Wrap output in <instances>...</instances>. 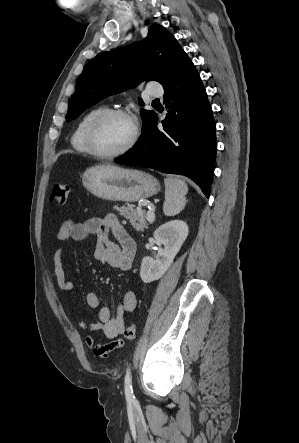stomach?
<instances>
[{"instance_id": "obj_1", "label": "stomach", "mask_w": 299, "mask_h": 443, "mask_svg": "<svg viewBox=\"0 0 299 443\" xmlns=\"http://www.w3.org/2000/svg\"><path fill=\"white\" fill-rule=\"evenodd\" d=\"M83 185L99 198L126 202L148 198L160 190V184L153 176L111 164L87 169L83 174Z\"/></svg>"}]
</instances>
